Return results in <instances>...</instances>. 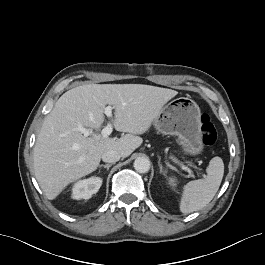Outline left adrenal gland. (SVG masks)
<instances>
[{"label":"left adrenal gland","instance_id":"left-adrenal-gland-1","mask_svg":"<svg viewBox=\"0 0 265 265\" xmlns=\"http://www.w3.org/2000/svg\"><path fill=\"white\" fill-rule=\"evenodd\" d=\"M158 164H159V168H160V173L163 174L164 176H166L167 171L163 169V166L160 163V160H159Z\"/></svg>","mask_w":265,"mask_h":265}]
</instances>
